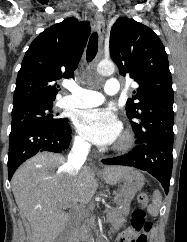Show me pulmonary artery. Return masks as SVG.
Listing matches in <instances>:
<instances>
[{
    "mask_svg": "<svg viewBox=\"0 0 187 242\" xmlns=\"http://www.w3.org/2000/svg\"><path fill=\"white\" fill-rule=\"evenodd\" d=\"M70 95L62 99V105L70 108H87L99 105L103 102V96L94 90L84 89L76 84L67 86ZM120 90V83L115 78H109L104 85L107 95H116Z\"/></svg>",
    "mask_w": 187,
    "mask_h": 242,
    "instance_id": "pulmonary-artery-1",
    "label": "pulmonary artery"
}]
</instances>
